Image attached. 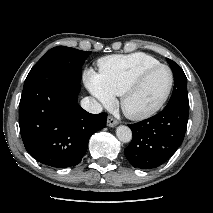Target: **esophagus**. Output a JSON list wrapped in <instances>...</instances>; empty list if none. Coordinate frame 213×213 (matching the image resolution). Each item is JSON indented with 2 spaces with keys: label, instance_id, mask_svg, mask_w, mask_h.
<instances>
[{
  "label": "esophagus",
  "instance_id": "esophagus-1",
  "mask_svg": "<svg viewBox=\"0 0 213 213\" xmlns=\"http://www.w3.org/2000/svg\"><path fill=\"white\" fill-rule=\"evenodd\" d=\"M118 124V121L114 119L112 116H108L107 118V126L114 127Z\"/></svg>",
  "mask_w": 213,
  "mask_h": 213
}]
</instances>
